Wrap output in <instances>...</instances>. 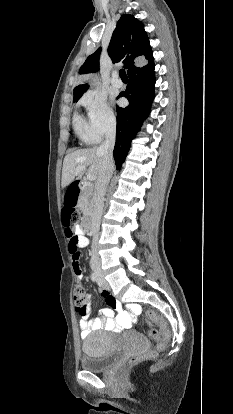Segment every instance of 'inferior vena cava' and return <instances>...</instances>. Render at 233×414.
Wrapping results in <instances>:
<instances>
[{
	"label": "inferior vena cava",
	"mask_w": 233,
	"mask_h": 414,
	"mask_svg": "<svg viewBox=\"0 0 233 414\" xmlns=\"http://www.w3.org/2000/svg\"><path fill=\"white\" fill-rule=\"evenodd\" d=\"M115 139H116V122H111L106 130V137L105 141L102 142V144L99 147V151L103 155V167L102 170L98 176L97 179V185H96V194H95V205L92 213V225L93 230L95 233H93V241H97L98 237L96 236V233L99 232L100 229V223L101 218L103 215V207H104V196L106 194V188L109 184V181L112 176V172L114 169V161H113V149L115 145ZM91 253V263L95 265L100 264V259L98 257L99 248L96 245V242H91L90 245Z\"/></svg>",
	"instance_id": "obj_1"
}]
</instances>
